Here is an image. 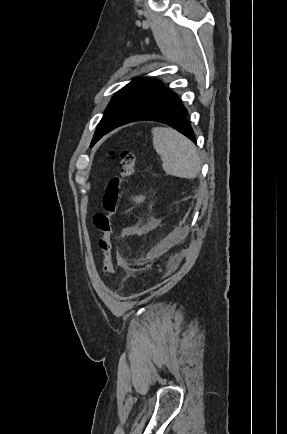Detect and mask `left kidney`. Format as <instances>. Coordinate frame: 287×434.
I'll return each mask as SVG.
<instances>
[{"label": "left kidney", "instance_id": "1", "mask_svg": "<svg viewBox=\"0 0 287 434\" xmlns=\"http://www.w3.org/2000/svg\"><path fill=\"white\" fill-rule=\"evenodd\" d=\"M136 200H137L138 202H141V201L144 200V197H143V196L137 197Z\"/></svg>", "mask_w": 287, "mask_h": 434}]
</instances>
